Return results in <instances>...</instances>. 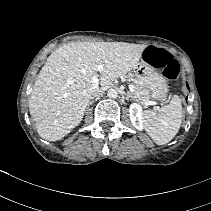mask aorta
<instances>
[{
  "instance_id": "aorta-1",
  "label": "aorta",
  "mask_w": 211,
  "mask_h": 211,
  "mask_svg": "<svg viewBox=\"0 0 211 211\" xmlns=\"http://www.w3.org/2000/svg\"><path fill=\"white\" fill-rule=\"evenodd\" d=\"M107 96L110 98V99H115L118 97V92L116 89H109L108 92H107Z\"/></svg>"
}]
</instances>
